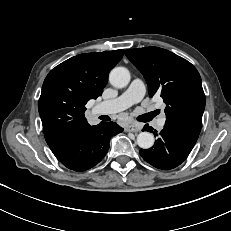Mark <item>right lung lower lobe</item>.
Listing matches in <instances>:
<instances>
[{
  "label": "right lung lower lobe",
  "instance_id": "98d812e1",
  "mask_svg": "<svg viewBox=\"0 0 231 231\" xmlns=\"http://www.w3.org/2000/svg\"><path fill=\"white\" fill-rule=\"evenodd\" d=\"M123 128L115 122H101L72 136L63 148L54 154L67 168L85 171L98 164L109 149L112 136L122 132Z\"/></svg>",
  "mask_w": 231,
  "mask_h": 231
}]
</instances>
